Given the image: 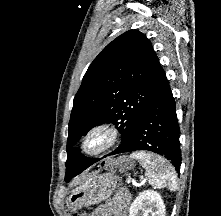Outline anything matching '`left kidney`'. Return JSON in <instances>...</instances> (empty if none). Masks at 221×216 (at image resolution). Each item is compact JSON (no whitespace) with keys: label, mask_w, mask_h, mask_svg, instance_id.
I'll return each mask as SVG.
<instances>
[{"label":"left kidney","mask_w":221,"mask_h":216,"mask_svg":"<svg viewBox=\"0 0 221 216\" xmlns=\"http://www.w3.org/2000/svg\"><path fill=\"white\" fill-rule=\"evenodd\" d=\"M129 216H165L161 195L153 190L140 193L130 206Z\"/></svg>","instance_id":"obj_1"}]
</instances>
